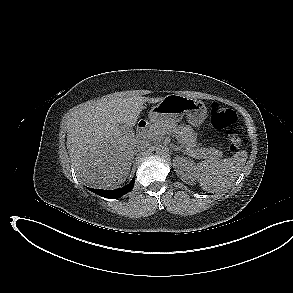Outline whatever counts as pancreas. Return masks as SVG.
Wrapping results in <instances>:
<instances>
[{
    "label": "pancreas",
    "instance_id": "obj_1",
    "mask_svg": "<svg viewBox=\"0 0 293 293\" xmlns=\"http://www.w3.org/2000/svg\"><path fill=\"white\" fill-rule=\"evenodd\" d=\"M178 134L179 143L185 148V153L196 158L218 159L222 157V151L215 148H199L196 146V135L188 126H177L174 123L161 122L153 124L146 133V137L150 141H156L163 138L168 133Z\"/></svg>",
    "mask_w": 293,
    "mask_h": 293
}]
</instances>
